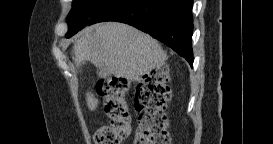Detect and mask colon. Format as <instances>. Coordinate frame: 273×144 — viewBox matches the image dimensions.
Returning a JSON list of instances; mask_svg holds the SVG:
<instances>
[{
  "label": "colon",
  "mask_w": 273,
  "mask_h": 144,
  "mask_svg": "<svg viewBox=\"0 0 273 144\" xmlns=\"http://www.w3.org/2000/svg\"><path fill=\"white\" fill-rule=\"evenodd\" d=\"M168 66L152 69L138 83L135 106L139 114L136 144H169L166 105L171 98ZM97 93L103 99L104 113L109 123L96 129V144H119L131 128V119L125 102L129 83L124 78L111 77L97 83Z\"/></svg>",
  "instance_id": "1"
}]
</instances>
